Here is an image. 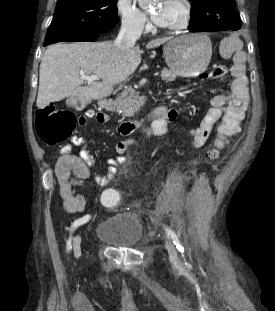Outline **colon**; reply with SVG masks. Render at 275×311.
<instances>
[{"instance_id":"obj_1","label":"colon","mask_w":275,"mask_h":311,"mask_svg":"<svg viewBox=\"0 0 275 311\" xmlns=\"http://www.w3.org/2000/svg\"><path fill=\"white\" fill-rule=\"evenodd\" d=\"M226 74V69L223 66H218L215 69L214 75L222 77ZM80 98L75 97L72 103H78ZM87 118L85 115L76 116L69 109H57L53 105H48L40 109L36 113V133L41 141L48 145H57L66 141L73 133L77 124H86ZM220 130H242L240 118H220ZM226 134L222 135L217 140V148H223L226 144ZM217 150L210 153L212 159L216 158ZM118 190H101L102 203L107 208H115L118 206L120 197Z\"/></svg>"}]
</instances>
